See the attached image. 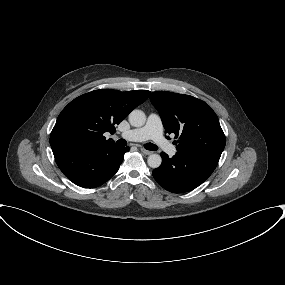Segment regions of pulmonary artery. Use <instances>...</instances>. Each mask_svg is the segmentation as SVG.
I'll return each instance as SVG.
<instances>
[{
	"instance_id": "1",
	"label": "pulmonary artery",
	"mask_w": 285,
	"mask_h": 285,
	"mask_svg": "<svg viewBox=\"0 0 285 285\" xmlns=\"http://www.w3.org/2000/svg\"><path fill=\"white\" fill-rule=\"evenodd\" d=\"M123 139L128 141L141 142L152 139L158 146L163 148L169 155H175L177 150L170 145L163 137V125L157 114H150L146 124L137 129H131L121 134Z\"/></svg>"
}]
</instances>
